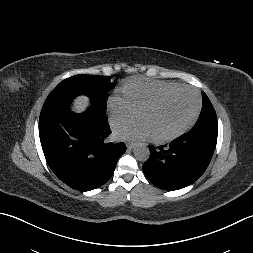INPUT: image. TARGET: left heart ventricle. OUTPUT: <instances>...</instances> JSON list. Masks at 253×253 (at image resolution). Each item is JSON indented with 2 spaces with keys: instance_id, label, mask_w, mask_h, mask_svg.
Here are the masks:
<instances>
[{
  "instance_id": "left-heart-ventricle-1",
  "label": "left heart ventricle",
  "mask_w": 253,
  "mask_h": 253,
  "mask_svg": "<svg viewBox=\"0 0 253 253\" xmlns=\"http://www.w3.org/2000/svg\"><path fill=\"white\" fill-rule=\"evenodd\" d=\"M196 105L193 93L179 91L153 108L143 111L139 119L146 123L151 137H164L185 125L193 116Z\"/></svg>"
}]
</instances>
